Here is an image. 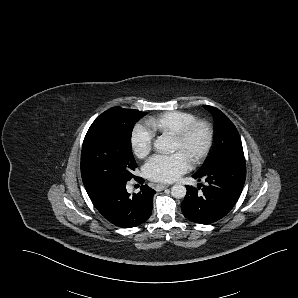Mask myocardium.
<instances>
[{
  "mask_svg": "<svg viewBox=\"0 0 298 298\" xmlns=\"http://www.w3.org/2000/svg\"><path fill=\"white\" fill-rule=\"evenodd\" d=\"M195 130L200 131L201 141L197 150L187 161L189 165H193L196 161H198L208 149V146L210 143V137H211L208 123L203 120H195L191 123H188L186 125L176 128L170 133L164 135V137L162 138V140L168 139V140L181 141L186 137H188Z\"/></svg>",
  "mask_w": 298,
  "mask_h": 298,
  "instance_id": "1",
  "label": "myocardium"
}]
</instances>
